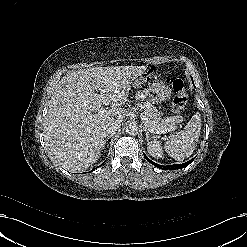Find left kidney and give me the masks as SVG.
Returning <instances> with one entry per match:
<instances>
[{
	"label": "left kidney",
	"instance_id": "1",
	"mask_svg": "<svg viewBox=\"0 0 247 247\" xmlns=\"http://www.w3.org/2000/svg\"><path fill=\"white\" fill-rule=\"evenodd\" d=\"M147 145H148L147 151L152 157L157 158V159L163 157V151H162V147H161L159 141L154 139V140L148 142Z\"/></svg>",
	"mask_w": 247,
	"mask_h": 247
}]
</instances>
